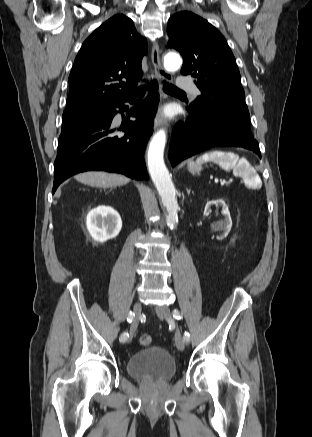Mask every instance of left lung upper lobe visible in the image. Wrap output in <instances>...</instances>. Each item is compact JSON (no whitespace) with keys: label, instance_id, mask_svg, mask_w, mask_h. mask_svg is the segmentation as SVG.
<instances>
[{"label":"left lung upper lobe","instance_id":"obj_1","mask_svg":"<svg viewBox=\"0 0 312 437\" xmlns=\"http://www.w3.org/2000/svg\"><path fill=\"white\" fill-rule=\"evenodd\" d=\"M167 33L168 47L178 50L183 57L181 74L194 77L201 90V96L189 108L220 114L253 137L239 69L221 33L189 11L170 17Z\"/></svg>","mask_w":312,"mask_h":437}]
</instances>
